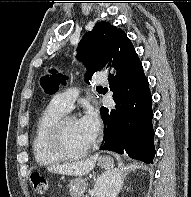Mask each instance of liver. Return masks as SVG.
<instances>
[{
	"mask_svg": "<svg viewBox=\"0 0 191 197\" xmlns=\"http://www.w3.org/2000/svg\"><path fill=\"white\" fill-rule=\"evenodd\" d=\"M98 159V154L84 160L67 164H56L47 167L49 172H54L64 175L84 176L87 175L95 166Z\"/></svg>",
	"mask_w": 191,
	"mask_h": 197,
	"instance_id": "obj_1",
	"label": "liver"
}]
</instances>
